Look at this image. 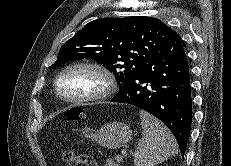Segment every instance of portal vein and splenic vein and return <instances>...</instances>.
I'll return each mask as SVG.
<instances>
[{
	"instance_id": "1",
	"label": "portal vein and splenic vein",
	"mask_w": 231,
	"mask_h": 166,
	"mask_svg": "<svg viewBox=\"0 0 231 166\" xmlns=\"http://www.w3.org/2000/svg\"><path fill=\"white\" fill-rule=\"evenodd\" d=\"M122 156H126L127 155V151L126 150H122ZM122 156H117L118 157V159H122Z\"/></svg>"
}]
</instances>
